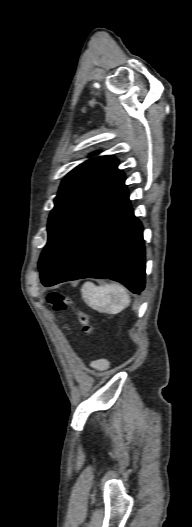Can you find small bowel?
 <instances>
[{"label":"small bowel","mask_w":192,"mask_h":527,"mask_svg":"<svg viewBox=\"0 0 192 527\" xmlns=\"http://www.w3.org/2000/svg\"><path fill=\"white\" fill-rule=\"evenodd\" d=\"M93 367L99 370L105 369L107 367V362L105 360H97L93 363Z\"/></svg>","instance_id":"small-bowel-1"}]
</instances>
